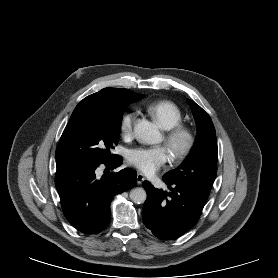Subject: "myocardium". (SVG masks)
I'll return each instance as SVG.
<instances>
[{"label": "myocardium", "mask_w": 278, "mask_h": 278, "mask_svg": "<svg viewBox=\"0 0 278 278\" xmlns=\"http://www.w3.org/2000/svg\"><path fill=\"white\" fill-rule=\"evenodd\" d=\"M195 134L186 125L178 124L165 137V145L175 160L188 156L195 146Z\"/></svg>", "instance_id": "1"}]
</instances>
